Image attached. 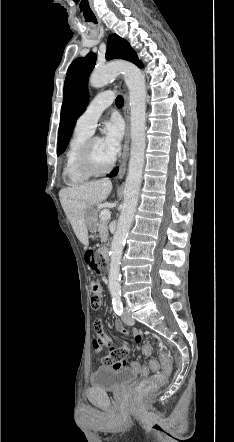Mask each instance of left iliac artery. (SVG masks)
Returning <instances> with one entry per match:
<instances>
[{"instance_id":"left-iliac-artery-1","label":"left iliac artery","mask_w":234,"mask_h":442,"mask_svg":"<svg viewBox=\"0 0 234 442\" xmlns=\"http://www.w3.org/2000/svg\"><path fill=\"white\" fill-rule=\"evenodd\" d=\"M112 303H113V308L115 310V313L117 315H121L123 312V305H122V301H121V293H114L112 295Z\"/></svg>"}]
</instances>
